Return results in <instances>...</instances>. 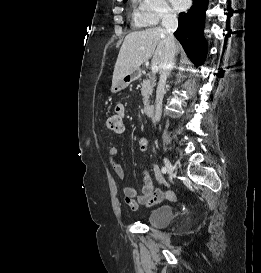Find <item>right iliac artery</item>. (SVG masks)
Masks as SVG:
<instances>
[{
	"instance_id": "82829eb1",
	"label": "right iliac artery",
	"mask_w": 261,
	"mask_h": 273,
	"mask_svg": "<svg viewBox=\"0 0 261 273\" xmlns=\"http://www.w3.org/2000/svg\"><path fill=\"white\" fill-rule=\"evenodd\" d=\"M162 173H166V168L165 167H162Z\"/></svg>"
}]
</instances>
